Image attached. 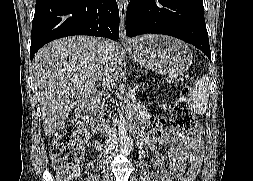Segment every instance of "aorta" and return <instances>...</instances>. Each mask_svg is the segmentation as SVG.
Listing matches in <instances>:
<instances>
[{"mask_svg": "<svg viewBox=\"0 0 253 181\" xmlns=\"http://www.w3.org/2000/svg\"><path fill=\"white\" fill-rule=\"evenodd\" d=\"M125 112H120V116H119V119H118V123H116V128H118V134H119V141H120V149H123L124 150V154L126 153L125 150L128 149V144L126 141V130H127V124L125 123Z\"/></svg>", "mask_w": 253, "mask_h": 181, "instance_id": "1", "label": "aorta"}]
</instances>
